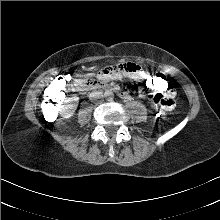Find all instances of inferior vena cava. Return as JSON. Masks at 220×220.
<instances>
[{"label":"inferior vena cava","instance_id":"602c4592","mask_svg":"<svg viewBox=\"0 0 220 220\" xmlns=\"http://www.w3.org/2000/svg\"><path fill=\"white\" fill-rule=\"evenodd\" d=\"M95 96H98L100 93L99 92H95L93 93Z\"/></svg>","mask_w":220,"mask_h":220}]
</instances>
